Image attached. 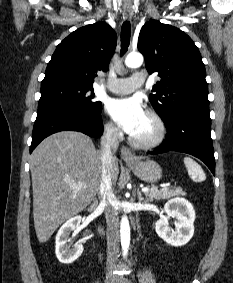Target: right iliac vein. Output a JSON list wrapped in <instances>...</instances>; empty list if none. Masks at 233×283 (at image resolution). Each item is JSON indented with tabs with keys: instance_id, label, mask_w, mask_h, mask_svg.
<instances>
[{
	"instance_id": "63e3f726",
	"label": "right iliac vein",
	"mask_w": 233,
	"mask_h": 283,
	"mask_svg": "<svg viewBox=\"0 0 233 283\" xmlns=\"http://www.w3.org/2000/svg\"><path fill=\"white\" fill-rule=\"evenodd\" d=\"M105 283H114V277L111 275L107 276Z\"/></svg>"
}]
</instances>
